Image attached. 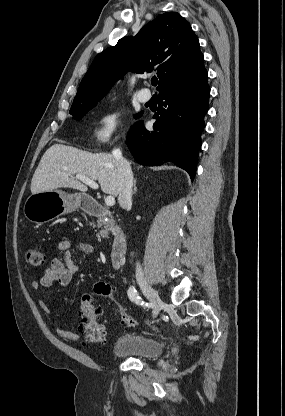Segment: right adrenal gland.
<instances>
[{"mask_svg":"<svg viewBox=\"0 0 285 416\" xmlns=\"http://www.w3.org/2000/svg\"><path fill=\"white\" fill-rule=\"evenodd\" d=\"M136 192H137V186H136V180H134V192H133V194H136Z\"/></svg>","mask_w":285,"mask_h":416,"instance_id":"2a0ac1e0","label":"right adrenal gland"}]
</instances>
